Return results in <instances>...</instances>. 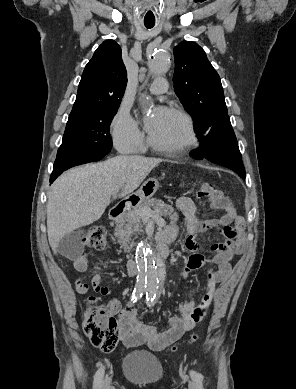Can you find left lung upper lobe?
I'll return each instance as SVG.
<instances>
[{"instance_id":"obj_1","label":"left lung upper lobe","mask_w":296,"mask_h":389,"mask_svg":"<svg viewBox=\"0 0 296 389\" xmlns=\"http://www.w3.org/2000/svg\"><path fill=\"white\" fill-rule=\"evenodd\" d=\"M174 89L185 110L194 119L198 139L220 120L229 117L220 77L195 42L174 47Z\"/></svg>"}]
</instances>
